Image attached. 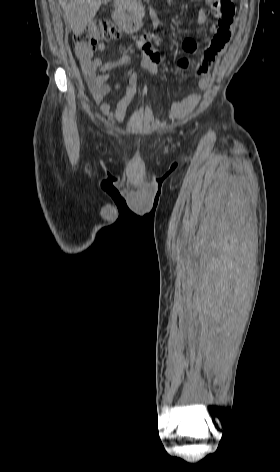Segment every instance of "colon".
Segmentation results:
<instances>
[{"label":"colon","mask_w":280,"mask_h":472,"mask_svg":"<svg viewBox=\"0 0 280 472\" xmlns=\"http://www.w3.org/2000/svg\"><path fill=\"white\" fill-rule=\"evenodd\" d=\"M237 0H213L212 8L217 16V25L226 26L233 21L236 11ZM120 29L106 20H98L90 23L84 30L74 35L76 44L87 46L91 49L97 48L101 42L119 38ZM178 66L182 71L189 69V62L181 59Z\"/></svg>","instance_id":"colon-1"}]
</instances>
